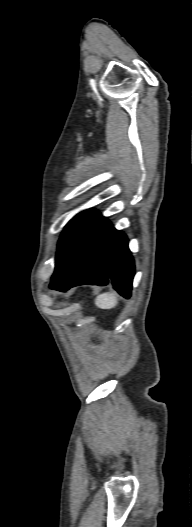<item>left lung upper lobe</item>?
Returning <instances> with one entry per match:
<instances>
[{
    "instance_id": "obj_1",
    "label": "left lung upper lobe",
    "mask_w": 192,
    "mask_h": 527,
    "mask_svg": "<svg viewBox=\"0 0 192 527\" xmlns=\"http://www.w3.org/2000/svg\"><path fill=\"white\" fill-rule=\"evenodd\" d=\"M93 214V210H86L78 215H76L70 222L66 225L64 231L62 232L61 238L58 243V251L56 255V260L64 251L67 244L76 234V232L82 227L86 220Z\"/></svg>"
}]
</instances>
